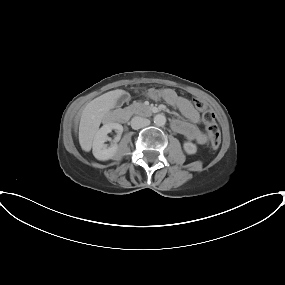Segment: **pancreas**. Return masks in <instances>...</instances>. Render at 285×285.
I'll use <instances>...</instances> for the list:
<instances>
[{
	"instance_id": "cf45deb5",
	"label": "pancreas",
	"mask_w": 285,
	"mask_h": 285,
	"mask_svg": "<svg viewBox=\"0 0 285 285\" xmlns=\"http://www.w3.org/2000/svg\"><path fill=\"white\" fill-rule=\"evenodd\" d=\"M126 110L127 111H132V107H128Z\"/></svg>"
}]
</instances>
